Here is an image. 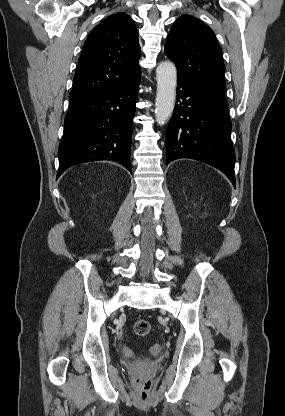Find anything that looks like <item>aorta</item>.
<instances>
[{"instance_id":"aorta-1","label":"aorta","mask_w":285,"mask_h":416,"mask_svg":"<svg viewBox=\"0 0 285 416\" xmlns=\"http://www.w3.org/2000/svg\"><path fill=\"white\" fill-rule=\"evenodd\" d=\"M157 94L155 116L164 124L172 115L176 99L177 70L173 63L162 62L156 69Z\"/></svg>"}]
</instances>
